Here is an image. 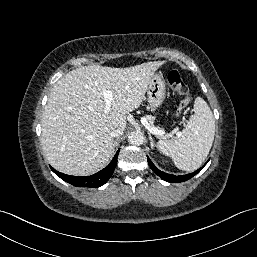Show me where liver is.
Returning <instances> with one entry per match:
<instances>
[{"mask_svg":"<svg viewBox=\"0 0 257 257\" xmlns=\"http://www.w3.org/2000/svg\"><path fill=\"white\" fill-rule=\"evenodd\" d=\"M164 61L127 68L84 66L58 80L43 111L41 143L58 171L88 176L110 161L115 144L110 132L125 130L126 114L137 109L151 77ZM111 90L110 112L101 93Z\"/></svg>","mask_w":257,"mask_h":257,"instance_id":"1","label":"liver"}]
</instances>
